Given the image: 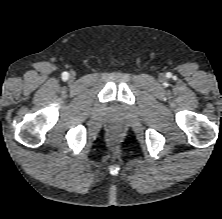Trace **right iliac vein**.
<instances>
[{
    "label": "right iliac vein",
    "instance_id": "1",
    "mask_svg": "<svg viewBox=\"0 0 222 219\" xmlns=\"http://www.w3.org/2000/svg\"><path fill=\"white\" fill-rule=\"evenodd\" d=\"M69 78H70L71 81H73L75 79V75L71 74Z\"/></svg>",
    "mask_w": 222,
    "mask_h": 219
}]
</instances>
